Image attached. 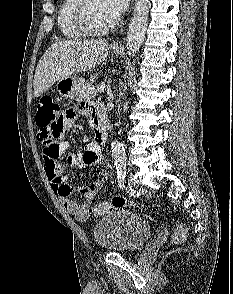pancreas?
<instances>
[{
	"instance_id": "1",
	"label": "pancreas",
	"mask_w": 233,
	"mask_h": 294,
	"mask_svg": "<svg viewBox=\"0 0 233 294\" xmlns=\"http://www.w3.org/2000/svg\"><path fill=\"white\" fill-rule=\"evenodd\" d=\"M96 79V76H92L88 81L82 83L78 100H90L96 96V86L92 85Z\"/></svg>"
}]
</instances>
